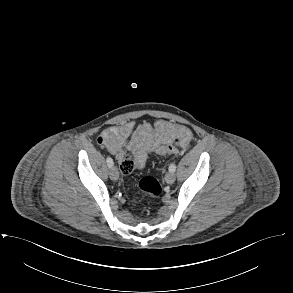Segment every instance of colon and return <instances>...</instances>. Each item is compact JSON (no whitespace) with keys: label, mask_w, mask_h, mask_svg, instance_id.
<instances>
[{"label":"colon","mask_w":293,"mask_h":293,"mask_svg":"<svg viewBox=\"0 0 293 293\" xmlns=\"http://www.w3.org/2000/svg\"><path fill=\"white\" fill-rule=\"evenodd\" d=\"M179 141L173 139L172 141L162 143L158 145L155 149L156 153L159 155H171L177 151V146ZM139 189L150 195L152 198H159L163 194V187L161 183L153 176H144L139 181Z\"/></svg>","instance_id":"colon-1"}]
</instances>
